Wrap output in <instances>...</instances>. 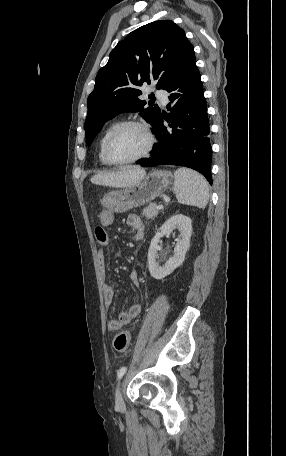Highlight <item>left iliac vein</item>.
<instances>
[{
  "instance_id": "1",
  "label": "left iliac vein",
  "mask_w": 286,
  "mask_h": 456,
  "mask_svg": "<svg viewBox=\"0 0 286 456\" xmlns=\"http://www.w3.org/2000/svg\"><path fill=\"white\" fill-rule=\"evenodd\" d=\"M115 403L118 408L124 407V400L121 394V383L117 385V388L115 390Z\"/></svg>"
}]
</instances>
